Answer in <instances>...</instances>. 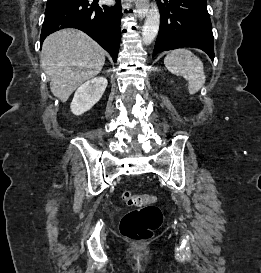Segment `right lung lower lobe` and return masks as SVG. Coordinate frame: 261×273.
Returning a JSON list of instances; mask_svg holds the SVG:
<instances>
[{"instance_id": "obj_1", "label": "right lung lower lobe", "mask_w": 261, "mask_h": 273, "mask_svg": "<svg viewBox=\"0 0 261 273\" xmlns=\"http://www.w3.org/2000/svg\"><path fill=\"white\" fill-rule=\"evenodd\" d=\"M98 5V0H48L40 42L56 30L77 28L84 31L117 60L122 17L121 4Z\"/></svg>"}]
</instances>
